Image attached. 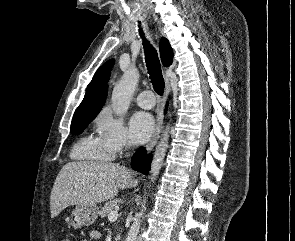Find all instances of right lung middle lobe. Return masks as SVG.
<instances>
[{
  "mask_svg": "<svg viewBox=\"0 0 295 241\" xmlns=\"http://www.w3.org/2000/svg\"><path fill=\"white\" fill-rule=\"evenodd\" d=\"M100 110L75 113L71 123V133L74 135L82 133Z\"/></svg>",
  "mask_w": 295,
  "mask_h": 241,
  "instance_id": "right-lung-middle-lobe-1",
  "label": "right lung middle lobe"
}]
</instances>
